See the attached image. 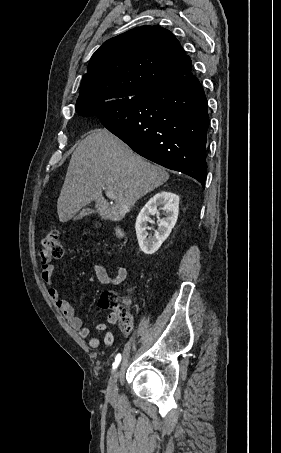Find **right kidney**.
<instances>
[{
	"label": "right kidney",
	"mask_w": 281,
	"mask_h": 453,
	"mask_svg": "<svg viewBox=\"0 0 281 453\" xmlns=\"http://www.w3.org/2000/svg\"><path fill=\"white\" fill-rule=\"evenodd\" d=\"M157 206H160V210H165L164 218H159L158 229L155 231L153 237H148L147 222H150L151 214H158L159 210ZM179 210V196L175 192H157L152 198H149L145 206L141 208L136 224V235L139 243V247L145 255H153L161 247L162 243L169 237L174 224L177 220Z\"/></svg>",
	"instance_id": "obj_1"
}]
</instances>
